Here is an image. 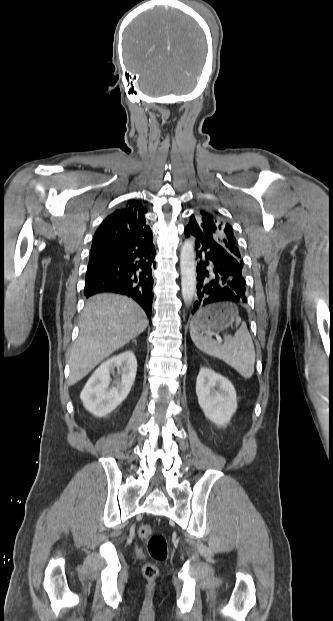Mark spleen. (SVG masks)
Masks as SVG:
<instances>
[{"instance_id":"spleen-1","label":"spleen","mask_w":333,"mask_h":621,"mask_svg":"<svg viewBox=\"0 0 333 621\" xmlns=\"http://www.w3.org/2000/svg\"><path fill=\"white\" fill-rule=\"evenodd\" d=\"M205 313V309L198 312L190 322V336L195 346L205 354L218 358L234 368L245 379L254 374L255 348L252 338L245 323L235 332L234 336L224 335V344H220L211 337L203 336L199 316ZM241 319L235 324L239 326Z\"/></svg>"}]
</instances>
